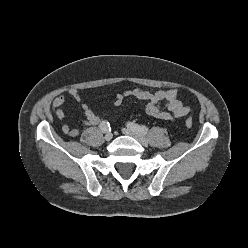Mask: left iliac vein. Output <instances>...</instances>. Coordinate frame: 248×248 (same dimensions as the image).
Segmentation results:
<instances>
[{
	"mask_svg": "<svg viewBox=\"0 0 248 248\" xmlns=\"http://www.w3.org/2000/svg\"><path fill=\"white\" fill-rule=\"evenodd\" d=\"M123 132L126 134V135H129L133 138H135L138 142H140L143 146H147L148 145V140L147 138L142 135V134H139L137 132H135L134 130L130 129V128H124L123 129Z\"/></svg>",
	"mask_w": 248,
	"mask_h": 248,
	"instance_id": "4c4485c4",
	"label": "left iliac vein"
}]
</instances>
